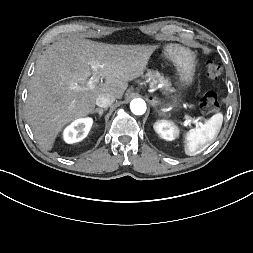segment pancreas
Instances as JSON below:
<instances>
[{
	"label": "pancreas",
	"instance_id": "1",
	"mask_svg": "<svg viewBox=\"0 0 253 253\" xmlns=\"http://www.w3.org/2000/svg\"><path fill=\"white\" fill-rule=\"evenodd\" d=\"M144 78L149 82L151 88H157L159 85L161 89L167 92H174L175 89L171 87V81L159 71L148 70Z\"/></svg>",
	"mask_w": 253,
	"mask_h": 253
}]
</instances>
